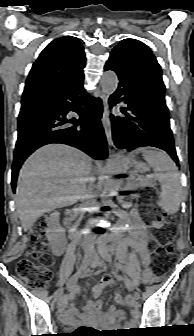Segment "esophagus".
I'll list each match as a JSON object with an SVG mask.
<instances>
[{
  "label": "esophagus",
  "instance_id": "obj_1",
  "mask_svg": "<svg viewBox=\"0 0 194 336\" xmlns=\"http://www.w3.org/2000/svg\"><path fill=\"white\" fill-rule=\"evenodd\" d=\"M108 114H109V98L104 95L103 97V115H102V124L104 127L105 135L110 146H114L112 139V132L108 122Z\"/></svg>",
  "mask_w": 194,
  "mask_h": 336
}]
</instances>
